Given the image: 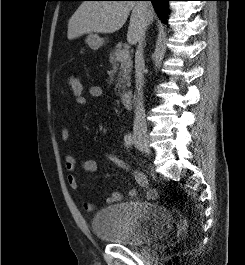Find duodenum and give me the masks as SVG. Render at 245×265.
Masks as SVG:
<instances>
[{"mask_svg": "<svg viewBox=\"0 0 245 265\" xmlns=\"http://www.w3.org/2000/svg\"><path fill=\"white\" fill-rule=\"evenodd\" d=\"M122 102L126 108H130L133 102V94L130 91H125L122 94Z\"/></svg>", "mask_w": 245, "mask_h": 265, "instance_id": "duodenum-1", "label": "duodenum"}]
</instances>
